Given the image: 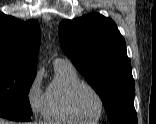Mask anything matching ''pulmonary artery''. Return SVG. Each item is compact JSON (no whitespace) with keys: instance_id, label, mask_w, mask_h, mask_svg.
I'll use <instances>...</instances> for the list:
<instances>
[{"instance_id":"e3ab8cb5","label":"pulmonary artery","mask_w":156,"mask_h":124,"mask_svg":"<svg viewBox=\"0 0 156 124\" xmlns=\"http://www.w3.org/2000/svg\"><path fill=\"white\" fill-rule=\"evenodd\" d=\"M58 63H68L71 64V62L67 58L58 57L54 60V65Z\"/></svg>"}]
</instances>
